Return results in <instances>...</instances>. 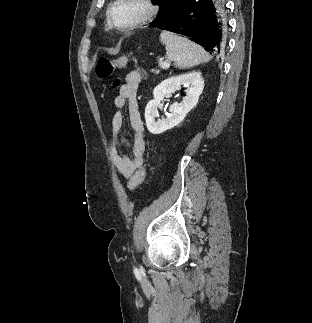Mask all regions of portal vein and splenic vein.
I'll return each instance as SVG.
<instances>
[{"label": "portal vein and splenic vein", "mask_w": 312, "mask_h": 323, "mask_svg": "<svg viewBox=\"0 0 312 323\" xmlns=\"http://www.w3.org/2000/svg\"><path fill=\"white\" fill-rule=\"evenodd\" d=\"M162 66L163 68H170V64H168V62H163Z\"/></svg>", "instance_id": "portal-vein-and-splenic-vein-1"}]
</instances>
